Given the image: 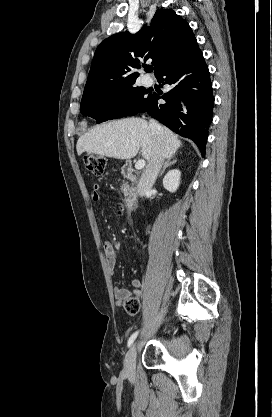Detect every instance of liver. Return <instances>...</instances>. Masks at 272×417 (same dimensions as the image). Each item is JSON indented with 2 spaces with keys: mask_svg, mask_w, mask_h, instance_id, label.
Here are the masks:
<instances>
[{
  "mask_svg": "<svg viewBox=\"0 0 272 417\" xmlns=\"http://www.w3.org/2000/svg\"><path fill=\"white\" fill-rule=\"evenodd\" d=\"M162 130L165 157L171 158L182 143L170 129L162 127ZM153 146V133L148 122L141 118H126L93 127L80 136L76 149L78 155L89 152L116 159H131L141 148L143 158L149 161Z\"/></svg>",
  "mask_w": 272,
  "mask_h": 417,
  "instance_id": "liver-1",
  "label": "liver"
}]
</instances>
